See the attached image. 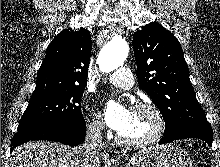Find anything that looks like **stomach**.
Wrapping results in <instances>:
<instances>
[{"label": "stomach", "mask_w": 220, "mask_h": 167, "mask_svg": "<svg viewBox=\"0 0 220 167\" xmlns=\"http://www.w3.org/2000/svg\"><path fill=\"white\" fill-rule=\"evenodd\" d=\"M126 167H193L188 153L175 145L144 148L128 160Z\"/></svg>", "instance_id": "0dacf381"}]
</instances>
